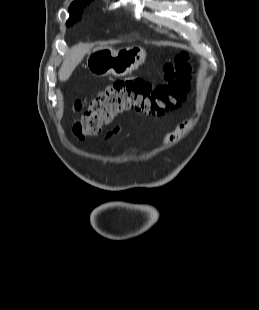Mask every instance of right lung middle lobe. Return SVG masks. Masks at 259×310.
Listing matches in <instances>:
<instances>
[{"label":"right lung middle lobe","instance_id":"obj_1","mask_svg":"<svg viewBox=\"0 0 259 310\" xmlns=\"http://www.w3.org/2000/svg\"><path fill=\"white\" fill-rule=\"evenodd\" d=\"M91 1L88 2H84L80 5H78L77 7H75L74 9H69V13H70V18L67 21V26H71L73 25L75 22H77L78 20L81 19V14L83 11V8L89 4Z\"/></svg>","mask_w":259,"mask_h":310}]
</instances>
